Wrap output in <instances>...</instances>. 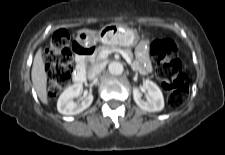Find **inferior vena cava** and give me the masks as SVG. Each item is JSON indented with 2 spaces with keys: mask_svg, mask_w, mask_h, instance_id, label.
I'll return each instance as SVG.
<instances>
[{
  "mask_svg": "<svg viewBox=\"0 0 225 155\" xmlns=\"http://www.w3.org/2000/svg\"><path fill=\"white\" fill-rule=\"evenodd\" d=\"M104 69L103 64H96L88 70V79L93 80Z\"/></svg>",
  "mask_w": 225,
  "mask_h": 155,
  "instance_id": "602c4592",
  "label": "inferior vena cava"
}]
</instances>
